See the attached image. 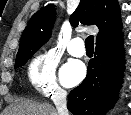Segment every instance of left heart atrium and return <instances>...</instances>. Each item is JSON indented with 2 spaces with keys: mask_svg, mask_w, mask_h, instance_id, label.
Masks as SVG:
<instances>
[{
  "mask_svg": "<svg viewBox=\"0 0 131 115\" xmlns=\"http://www.w3.org/2000/svg\"><path fill=\"white\" fill-rule=\"evenodd\" d=\"M85 76V69L78 62L66 64L61 71V81L65 86H74Z\"/></svg>",
  "mask_w": 131,
  "mask_h": 115,
  "instance_id": "left-heart-atrium-1",
  "label": "left heart atrium"
}]
</instances>
